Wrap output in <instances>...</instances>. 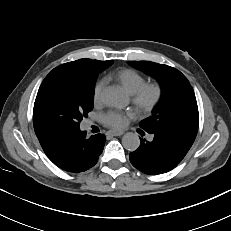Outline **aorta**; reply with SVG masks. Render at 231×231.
Masks as SVG:
<instances>
[{
  "mask_svg": "<svg viewBox=\"0 0 231 231\" xmlns=\"http://www.w3.org/2000/svg\"><path fill=\"white\" fill-rule=\"evenodd\" d=\"M103 102L109 107L123 108L127 105V99L120 90L109 87L102 94ZM123 147L129 151H135L140 146V139L136 133L128 132L122 138Z\"/></svg>",
  "mask_w": 231,
  "mask_h": 231,
  "instance_id": "1",
  "label": "aorta"
}]
</instances>
